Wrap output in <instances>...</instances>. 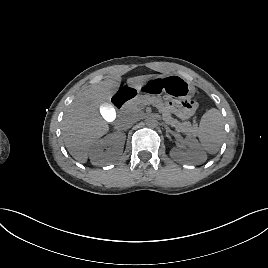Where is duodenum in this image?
Listing matches in <instances>:
<instances>
[{"label":"duodenum","instance_id":"duodenum-1","mask_svg":"<svg viewBox=\"0 0 268 268\" xmlns=\"http://www.w3.org/2000/svg\"><path fill=\"white\" fill-rule=\"evenodd\" d=\"M135 93L130 88H124L119 90L113 97V104L117 109H121L125 103L132 99Z\"/></svg>","mask_w":268,"mask_h":268}]
</instances>
